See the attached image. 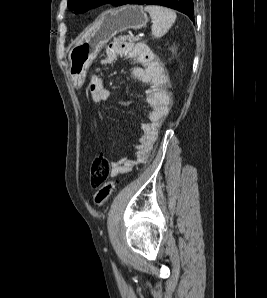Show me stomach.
<instances>
[{"label":"stomach","mask_w":267,"mask_h":298,"mask_svg":"<svg viewBox=\"0 0 267 298\" xmlns=\"http://www.w3.org/2000/svg\"><path fill=\"white\" fill-rule=\"evenodd\" d=\"M147 22L148 16L139 5H126L102 14L90 37L74 46L68 55L69 74L75 86H82L89 66L116 33L141 29Z\"/></svg>","instance_id":"obj_1"}]
</instances>
